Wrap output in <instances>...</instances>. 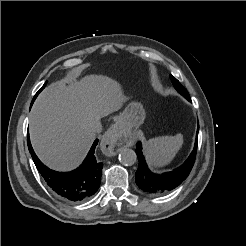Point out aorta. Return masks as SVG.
<instances>
[{
	"label": "aorta",
	"instance_id": "obj_1",
	"mask_svg": "<svg viewBox=\"0 0 246 246\" xmlns=\"http://www.w3.org/2000/svg\"><path fill=\"white\" fill-rule=\"evenodd\" d=\"M137 160V155L134 150L122 148L119 154V161L125 166H132Z\"/></svg>",
	"mask_w": 246,
	"mask_h": 246
}]
</instances>
